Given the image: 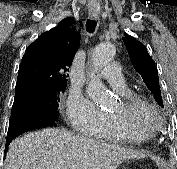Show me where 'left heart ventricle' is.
Here are the masks:
<instances>
[{"instance_id":"left-heart-ventricle-1","label":"left heart ventricle","mask_w":177,"mask_h":169,"mask_svg":"<svg viewBox=\"0 0 177 169\" xmlns=\"http://www.w3.org/2000/svg\"><path fill=\"white\" fill-rule=\"evenodd\" d=\"M120 102L115 105V107L112 109V112H116L119 110ZM139 123L142 127H149L153 123L152 117L147 113H142L139 115Z\"/></svg>"}]
</instances>
